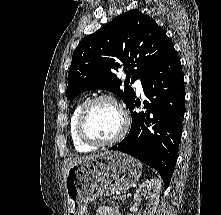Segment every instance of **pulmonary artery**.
I'll list each match as a JSON object with an SVG mask.
<instances>
[{
  "mask_svg": "<svg viewBox=\"0 0 221 215\" xmlns=\"http://www.w3.org/2000/svg\"><path fill=\"white\" fill-rule=\"evenodd\" d=\"M134 86L136 88L137 93H139V94L142 93L143 88H142V84H141L140 80H137L135 82Z\"/></svg>",
  "mask_w": 221,
  "mask_h": 215,
  "instance_id": "e3ab8cb5",
  "label": "pulmonary artery"
}]
</instances>
